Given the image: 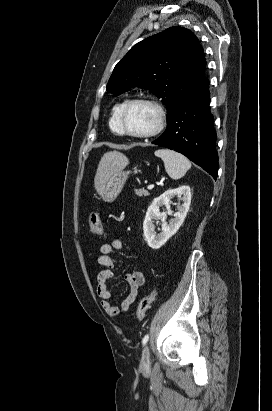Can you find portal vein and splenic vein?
Listing matches in <instances>:
<instances>
[{
    "label": "portal vein and splenic vein",
    "mask_w": 272,
    "mask_h": 411,
    "mask_svg": "<svg viewBox=\"0 0 272 411\" xmlns=\"http://www.w3.org/2000/svg\"><path fill=\"white\" fill-rule=\"evenodd\" d=\"M154 188V184H150L149 186H148V189H153Z\"/></svg>",
    "instance_id": "1"
}]
</instances>
